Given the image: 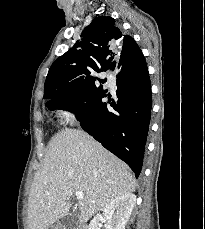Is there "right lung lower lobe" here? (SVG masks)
<instances>
[{
  "label": "right lung lower lobe",
  "instance_id": "98d812e1",
  "mask_svg": "<svg viewBox=\"0 0 205 229\" xmlns=\"http://www.w3.org/2000/svg\"><path fill=\"white\" fill-rule=\"evenodd\" d=\"M120 69L115 98L102 86L63 102H47L51 110L74 111L81 127L97 141L126 162L139 176L151 115V83L143 56L135 68ZM108 96V102L103 99Z\"/></svg>",
  "mask_w": 205,
  "mask_h": 229
}]
</instances>
